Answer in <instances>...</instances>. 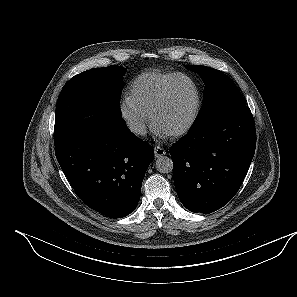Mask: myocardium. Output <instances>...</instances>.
Masks as SVG:
<instances>
[{
  "label": "myocardium",
  "mask_w": 297,
  "mask_h": 297,
  "mask_svg": "<svg viewBox=\"0 0 297 297\" xmlns=\"http://www.w3.org/2000/svg\"><path fill=\"white\" fill-rule=\"evenodd\" d=\"M180 80H185V81L189 82L191 84V86L193 87L194 93H195V104H194L192 114H191L190 118L188 119V121L181 128H179L178 130H176L173 133H171L170 135H168L171 138H178V137L185 135L194 126V124L199 116V112H200V108H201V93H200L197 83L188 75H185V74L176 75L164 87L162 93L160 94L159 98L155 101V103L151 107L149 114H148L151 126L153 127L154 126L153 125L154 117H155L156 113L165 105V103L167 102V100L169 98L171 89Z\"/></svg>",
  "instance_id": "myocardium-1"
}]
</instances>
